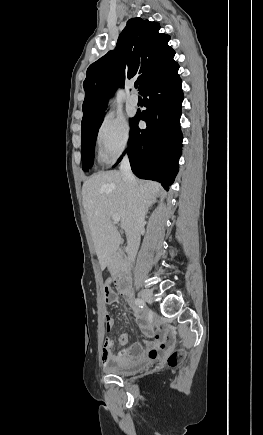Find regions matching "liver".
Here are the masks:
<instances>
[{
    "label": "liver",
    "mask_w": 263,
    "mask_h": 435,
    "mask_svg": "<svg viewBox=\"0 0 263 435\" xmlns=\"http://www.w3.org/2000/svg\"><path fill=\"white\" fill-rule=\"evenodd\" d=\"M137 189L145 205L155 201L160 185L136 180ZM83 206L87 215L95 251L101 270L111 262L119 247L120 235L112 216H120L121 227L129 226V204L125 182L119 171L99 172L87 179L82 187Z\"/></svg>",
    "instance_id": "obj_1"
}]
</instances>
